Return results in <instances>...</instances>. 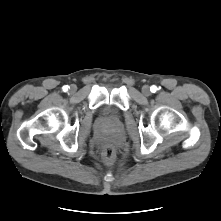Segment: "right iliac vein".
Returning a JSON list of instances; mask_svg holds the SVG:
<instances>
[{
  "label": "right iliac vein",
  "instance_id": "1",
  "mask_svg": "<svg viewBox=\"0 0 221 221\" xmlns=\"http://www.w3.org/2000/svg\"><path fill=\"white\" fill-rule=\"evenodd\" d=\"M76 90H77V87L75 85H72L70 87V92L74 93V92H76Z\"/></svg>",
  "mask_w": 221,
  "mask_h": 221
}]
</instances>
